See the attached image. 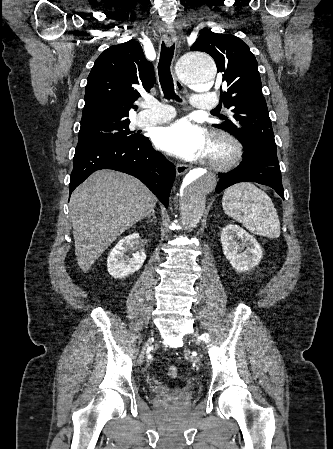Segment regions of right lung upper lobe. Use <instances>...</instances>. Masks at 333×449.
<instances>
[{
	"label": "right lung upper lobe",
	"mask_w": 333,
	"mask_h": 449,
	"mask_svg": "<svg viewBox=\"0 0 333 449\" xmlns=\"http://www.w3.org/2000/svg\"><path fill=\"white\" fill-rule=\"evenodd\" d=\"M154 85V68L139 42L130 40L106 49L88 76L81 128L103 122L124 121L139 97V88Z\"/></svg>",
	"instance_id": "1"
}]
</instances>
